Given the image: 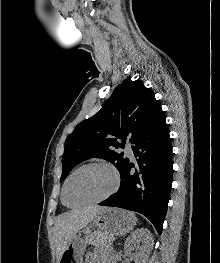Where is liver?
<instances>
[{"label": "liver", "instance_id": "liver-1", "mask_svg": "<svg viewBox=\"0 0 220 263\" xmlns=\"http://www.w3.org/2000/svg\"><path fill=\"white\" fill-rule=\"evenodd\" d=\"M103 209L104 207L100 206H88L71 210L57 217L53 227L57 263H59L64 250L73 236L91 223L95 216Z\"/></svg>", "mask_w": 220, "mask_h": 263}]
</instances>
